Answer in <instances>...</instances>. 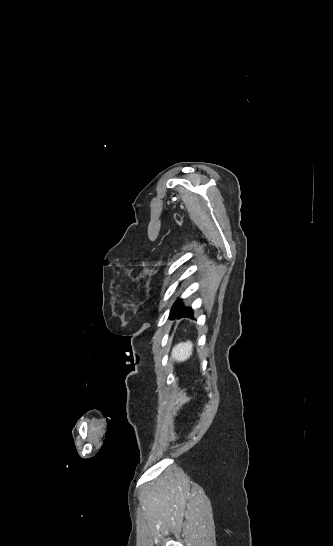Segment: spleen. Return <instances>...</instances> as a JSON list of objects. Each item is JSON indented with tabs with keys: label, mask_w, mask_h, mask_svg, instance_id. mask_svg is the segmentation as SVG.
Masks as SVG:
<instances>
[{
	"label": "spleen",
	"mask_w": 333,
	"mask_h": 546,
	"mask_svg": "<svg viewBox=\"0 0 333 546\" xmlns=\"http://www.w3.org/2000/svg\"><path fill=\"white\" fill-rule=\"evenodd\" d=\"M193 351V344L191 341L179 343L172 351V358L176 361L183 362L187 360Z\"/></svg>",
	"instance_id": "spleen-1"
}]
</instances>
